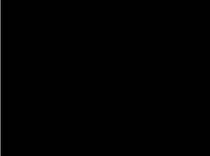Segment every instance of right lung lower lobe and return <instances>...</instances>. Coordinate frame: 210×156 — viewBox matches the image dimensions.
<instances>
[{
    "mask_svg": "<svg viewBox=\"0 0 210 156\" xmlns=\"http://www.w3.org/2000/svg\"><path fill=\"white\" fill-rule=\"evenodd\" d=\"M79 136L75 137V138H68V139H63L61 141H64V142H72V141H75L76 139H78Z\"/></svg>",
    "mask_w": 210,
    "mask_h": 156,
    "instance_id": "right-lung-lower-lobe-1",
    "label": "right lung lower lobe"
}]
</instances>
